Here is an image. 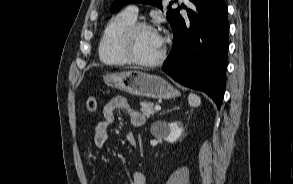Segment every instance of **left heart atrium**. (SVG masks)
Here are the masks:
<instances>
[{"label": "left heart atrium", "instance_id": "left-heart-atrium-1", "mask_svg": "<svg viewBox=\"0 0 293 184\" xmlns=\"http://www.w3.org/2000/svg\"><path fill=\"white\" fill-rule=\"evenodd\" d=\"M158 36H159L161 43L163 44V37L161 35H158Z\"/></svg>", "mask_w": 293, "mask_h": 184}]
</instances>
